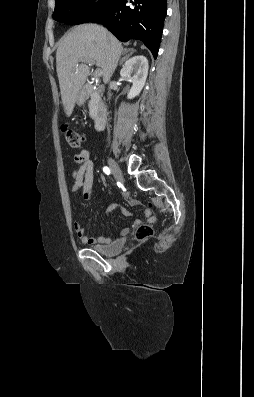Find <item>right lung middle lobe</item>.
<instances>
[{"instance_id":"dd1d6c3e","label":"right lung middle lobe","mask_w":254,"mask_h":397,"mask_svg":"<svg viewBox=\"0 0 254 397\" xmlns=\"http://www.w3.org/2000/svg\"><path fill=\"white\" fill-rule=\"evenodd\" d=\"M114 0H56L53 19L71 25L87 23L106 11Z\"/></svg>"}]
</instances>
